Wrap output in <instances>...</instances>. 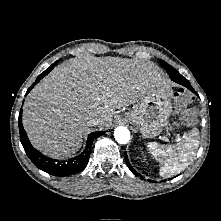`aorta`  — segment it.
Listing matches in <instances>:
<instances>
[{
    "instance_id": "obj_1",
    "label": "aorta",
    "mask_w": 221,
    "mask_h": 221,
    "mask_svg": "<svg viewBox=\"0 0 221 221\" xmlns=\"http://www.w3.org/2000/svg\"><path fill=\"white\" fill-rule=\"evenodd\" d=\"M115 140L120 144H126L130 140V131L123 126L117 127L114 131Z\"/></svg>"
}]
</instances>
